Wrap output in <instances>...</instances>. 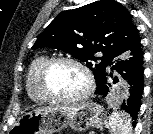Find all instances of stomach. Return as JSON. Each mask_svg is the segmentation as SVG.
Instances as JSON below:
<instances>
[{
    "instance_id": "obj_1",
    "label": "stomach",
    "mask_w": 153,
    "mask_h": 134,
    "mask_svg": "<svg viewBox=\"0 0 153 134\" xmlns=\"http://www.w3.org/2000/svg\"><path fill=\"white\" fill-rule=\"evenodd\" d=\"M102 108L94 102L75 106H51L25 113L12 128L13 134H55L70 127L82 132L91 127L100 128L104 122Z\"/></svg>"
}]
</instances>
